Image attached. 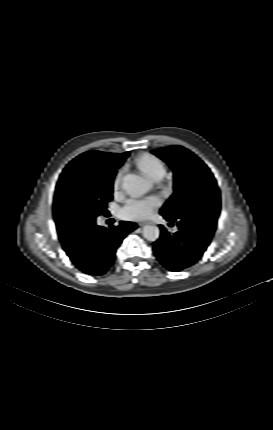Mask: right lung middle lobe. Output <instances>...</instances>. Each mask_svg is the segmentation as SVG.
Masks as SVG:
<instances>
[{
  "mask_svg": "<svg viewBox=\"0 0 273 430\" xmlns=\"http://www.w3.org/2000/svg\"><path fill=\"white\" fill-rule=\"evenodd\" d=\"M115 174L114 171H95L73 161L66 166L56 186L53 203L62 243L91 226L106 210L113 197Z\"/></svg>",
  "mask_w": 273,
  "mask_h": 430,
  "instance_id": "obj_1",
  "label": "right lung middle lobe"
}]
</instances>
